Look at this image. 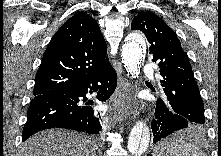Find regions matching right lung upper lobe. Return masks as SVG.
Returning <instances> with one entry per match:
<instances>
[{
	"instance_id": "1",
	"label": "right lung upper lobe",
	"mask_w": 221,
	"mask_h": 156,
	"mask_svg": "<svg viewBox=\"0 0 221 156\" xmlns=\"http://www.w3.org/2000/svg\"><path fill=\"white\" fill-rule=\"evenodd\" d=\"M106 42L87 13L69 18L55 33L37 71L34 97L64 93L108 66Z\"/></svg>"
}]
</instances>
